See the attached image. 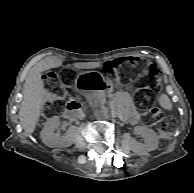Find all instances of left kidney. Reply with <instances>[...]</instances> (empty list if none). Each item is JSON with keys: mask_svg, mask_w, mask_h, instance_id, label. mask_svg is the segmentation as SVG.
Listing matches in <instances>:
<instances>
[{"mask_svg": "<svg viewBox=\"0 0 194 193\" xmlns=\"http://www.w3.org/2000/svg\"><path fill=\"white\" fill-rule=\"evenodd\" d=\"M135 133L140 134L145 139V143H138L136 140L131 141V150L138 155H145L158 147V135L145 126H136Z\"/></svg>", "mask_w": 194, "mask_h": 193, "instance_id": "obj_1", "label": "left kidney"}]
</instances>
